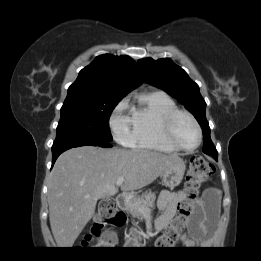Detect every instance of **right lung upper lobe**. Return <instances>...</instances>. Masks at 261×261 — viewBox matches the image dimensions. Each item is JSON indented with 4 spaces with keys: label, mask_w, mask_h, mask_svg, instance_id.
<instances>
[{
    "label": "right lung upper lobe",
    "mask_w": 261,
    "mask_h": 261,
    "mask_svg": "<svg viewBox=\"0 0 261 261\" xmlns=\"http://www.w3.org/2000/svg\"><path fill=\"white\" fill-rule=\"evenodd\" d=\"M141 82L142 76L132 58L104 54L80 71L67 97H124Z\"/></svg>",
    "instance_id": "1"
}]
</instances>
